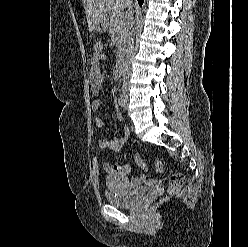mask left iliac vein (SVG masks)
<instances>
[{"label": "left iliac vein", "instance_id": "left-iliac-vein-1", "mask_svg": "<svg viewBox=\"0 0 248 247\" xmlns=\"http://www.w3.org/2000/svg\"><path fill=\"white\" fill-rule=\"evenodd\" d=\"M124 100H125V110H127V96L126 95L124 97Z\"/></svg>", "mask_w": 248, "mask_h": 247}]
</instances>
